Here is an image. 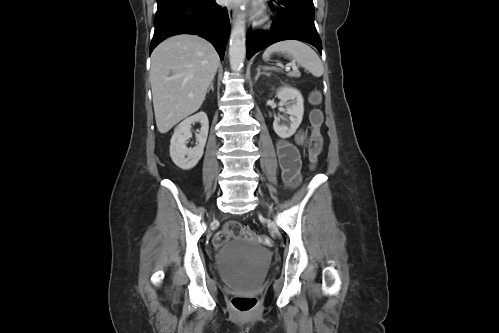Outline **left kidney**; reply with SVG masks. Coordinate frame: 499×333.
Returning <instances> with one entry per match:
<instances>
[{
    "label": "left kidney",
    "instance_id": "obj_1",
    "mask_svg": "<svg viewBox=\"0 0 499 333\" xmlns=\"http://www.w3.org/2000/svg\"><path fill=\"white\" fill-rule=\"evenodd\" d=\"M277 97L286 105L285 113L289 117L278 115L273 122L275 133L281 138L291 137L300 126L304 114V100L297 89L289 86L280 87Z\"/></svg>",
    "mask_w": 499,
    "mask_h": 333
}]
</instances>
